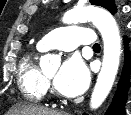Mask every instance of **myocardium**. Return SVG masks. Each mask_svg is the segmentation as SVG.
Masks as SVG:
<instances>
[{"label":"myocardium","instance_id":"obj_1","mask_svg":"<svg viewBox=\"0 0 131 115\" xmlns=\"http://www.w3.org/2000/svg\"><path fill=\"white\" fill-rule=\"evenodd\" d=\"M45 82H46V84H48L49 83V79L45 78Z\"/></svg>","mask_w":131,"mask_h":115}]
</instances>
